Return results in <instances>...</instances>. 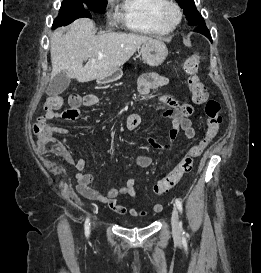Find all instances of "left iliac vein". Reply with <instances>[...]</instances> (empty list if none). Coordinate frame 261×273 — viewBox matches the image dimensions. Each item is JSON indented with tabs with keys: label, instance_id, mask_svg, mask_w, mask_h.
<instances>
[{
	"label": "left iliac vein",
	"instance_id": "4c4485c4",
	"mask_svg": "<svg viewBox=\"0 0 261 273\" xmlns=\"http://www.w3.org/2000/svg\"><path fill=\"white\" fill-rule=\"evenodd\" d=\"M171 221H172L173 234L175 236H179L181 234V226L179 223V216H178V212L176 208H173L172 210Z\"/></svg>",
	"mask_w": 261,
	"mask_h": 273
}]
</instances>
